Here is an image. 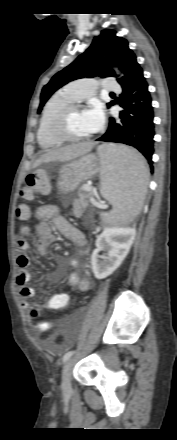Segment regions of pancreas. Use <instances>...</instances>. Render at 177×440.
I'll use <instances>...</instances> for the list:
<instances>
[{
  "mask_svg": "<svg viewBox=\"0 0 177 440\" xmlns=\"http://www.w3.org/2000/svg\"><path fill=\"white\" fill-rule=\"evenodd\" d=\"M92 195H93V192L92 191H87V190L86 191L81 190L78 193V199H75L74 203H73V214L76 217H80L82 215V213L84 212V210L88 206V199Z\"/></svg>",
  "mask_w": 177,
  "mask_h": 440,
  "instance_id": "pancreas-1",
  "label": "pancreas"
}]
</instances>
